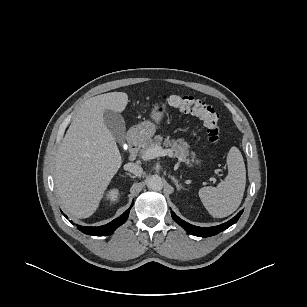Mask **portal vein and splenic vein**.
<instances>
[{"instance_id":"portal-vein-and-splenic-vein-1","label":"portal vein and splenic vein","mask_w":307,"mask_h":307,"mask_svg":"<svg viewBox=\"0 0 307 307\" xmlns=\"http://www.w3.org/2000/svg\"><path fill=\"white\" fill-rule=\"evenodd\" d=\"M169 156L172 157L173 156V152L171 149H163L160 145L154 146L150 149H148L145 152L144 158L146 160H150V159H154L157 158L159 156Z\"/></svg>"}]
</instances>
